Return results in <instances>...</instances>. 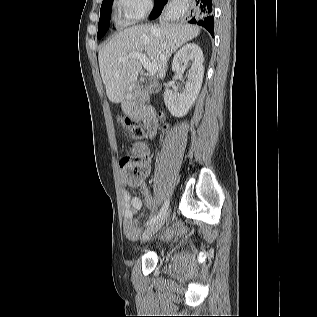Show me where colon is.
<instances>
[{
  "label": "colon",
  "instance_id": "colon-1",
  "mask_svg": "<svg viewBox=\"0 0 317 317\" xmlns=\"http://www.w3.org/2000/svg\"><path fill=\"white\" fill-rule=\"evenodd\" d=\"M161 118L163 115L160 116ZM121 124L126 133L135 140L142 139L144 132L141 127L137 126L131 119H122ZM120 166L125 172L127 179L130 182H137L148 173L149 166L144 158L139 156L136 152L134 155L124 156L120 160Z\"/></svg>",
  "mask_w": 317,
  "mask_h": 317
}]
</instances>
